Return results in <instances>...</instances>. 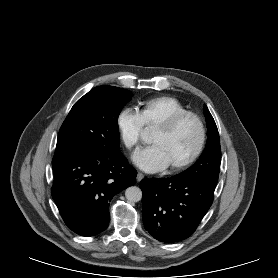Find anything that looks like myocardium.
Returning a JSON list of instances; mask_svg holds the SVG:
<instances>
[{
    "label": "myocardium",
    "mask_w": 278,
    "mask_h": 278,
    "mask_svg": "<svg viewBox=\"0 0 278 278\" xmlns=\"http://www.w3.org/2000/svg\"><path fill=\"white\" fill-rule=\"evenodd\" d=\"M187 119H192L197 124L198 131H199L198 143H197L195 150L187 158L169 165V169L171 171H179V170H182V169L190 166L202 154L205 144H206V139H207V131H206L204 121L196 113L187 111V112H183V113L174 115L173 117L169 118L168 120L159 124L156 127V129L169 133V132H172L174 129H176L183 121H185Z\"/></svg>",
    "instance_id": "1"
}]
</instances>
